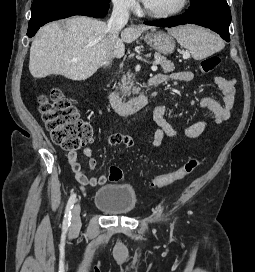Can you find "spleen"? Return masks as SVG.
<instances>
[{
    "instance_id": "3e777b00",
    "label": "spleen",
    "mask_w": 255,
    "mask_h": 272,
    "mask_svg": "<svg viewBox=\"0 0 255 272\" xmlns=\"http://www.w3.org/2000/svg\"><path fill=\"white\" fill-rule=\"evenodd\" d=\"M178 43L191 52L195 60L206 58L224 48V42L208 29L184 25L170 30Z\"/></svg>"
}]
</instances>
